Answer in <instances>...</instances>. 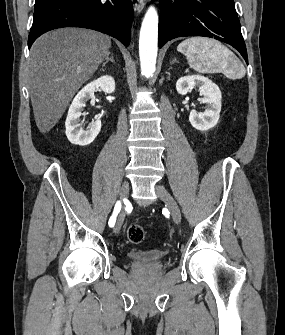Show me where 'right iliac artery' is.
<instances>
[{
  "instance_id": "82829eb1",
  "label": "right iliac artery",
  "mask_w": 285,
  "mask_h": 335,
  "mask_svg": "<svg viewBox=\"0 0 285 335\" xmlns=\"http://www.w3.org/2000/svg\"><path fill=\"white\" fill-rule=\"evenodd\" d=\"M120 210H121V203H120V201H117V203L115 204V207H114L113 214L110 217L109 222H108L110 227L114 226V224L116 222V217H117L118 213L120 212Z\"/></svg>"
}]
</instances>
